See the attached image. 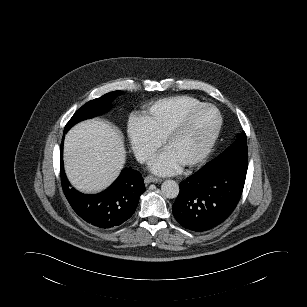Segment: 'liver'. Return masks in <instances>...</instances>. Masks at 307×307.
Returning <instances> with one entry per match:
<instances>
[{"label":"liver","mask_w":307,"mask_h":307,"mask_svg":"<svg viewBox=\"0 0 307 307\" xmlns=\"http://www.w3.org/2000/svg\"><path fill=\"white\" fill-rule=\"evenodd\" d=\"M126 157L123 136L99 119L73 127L64 140V168L72 186L85 193L107 188L119 175Z\"/></svg>","instance_id":"1"}]
</instances>
